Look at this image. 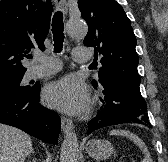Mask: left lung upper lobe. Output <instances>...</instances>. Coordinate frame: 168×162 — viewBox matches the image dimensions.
<instances>
[{
	"mask_svg": "<svg viewBox=\"0 0 168 162\" xmlns=\"http://www.w3.org/2000/svg\"><path fill=\"white\" fill-rule=\"evenodd\" d=\"M78 7L89 27L84 45L102 56L94 88L117 79L139 85L137 40L123 8L115 0H79Z\"/></svg>",
	"mask_w": 168,
	"mask_h": 162,
	"instance_id": "left-lung-upper-lobe-1",
	"label": "left lung upper lobe"
}]
</instances>
